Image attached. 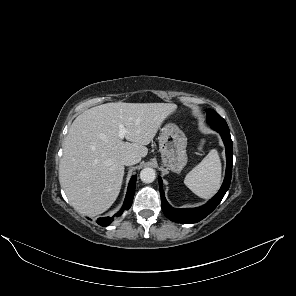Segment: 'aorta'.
<instances>
[{"instance_id":"aorta-1","label":"aorta","mask_w":296,"mask_h":296,"mask_svg":"<svg viewBox=\"0 0 296 296\" xmlns=\"http://www.w3.org/2000/svg\"><path fill=\"white\" fill-rule=\"evenodd\" d=\"M156 178V172L153 168L146 167L140 172V179L144 183H151Z\"/></svg>"}]
</instances>
